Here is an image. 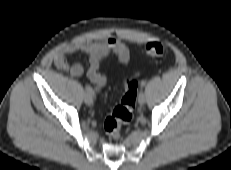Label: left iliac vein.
Listing matches in <instances>:
<instances>
[{
    "mask_svg": "<svg viewBox=\"0 0 231 170\" xmlns=\"http://www.w3.org/2000/svg\"><path fill=\"white\" fill-rule=\"evenodd\" d=\"M138 102H139L140 105L145 104V102H146V96H145V94L143 92H141L139 94Z\"/></svg>",
    "mask_w": 231,
    "mask_h": 170,
    "instance_id": "left-iliac-vein-1",
    "label": "left iliac vein"
}]
</instances>
